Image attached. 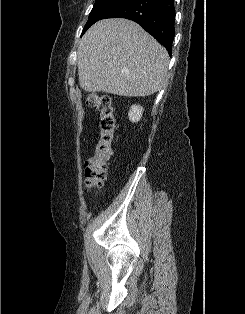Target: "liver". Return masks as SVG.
<instances>
[{
	"label": "liver",
	"instance_id": "liver-1",
	"mask_svg": "<svg viewBox=\"0 0 245 314\" xmlns=\"http://www.w3.org/2000/svg\"><path fill=\"white\" fill-rule=\"evenodd\" d=\"M169 54L137 23L104 19L81 38L77 50L79 84L86 92L145 97L167 81Z\"/></svg>",
	"mask_w": 245,
	"mask_h": 314
}]
</instances>
